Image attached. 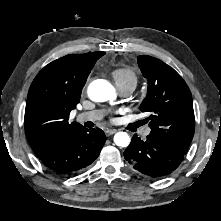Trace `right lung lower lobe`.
I'll return each instance as SVG.
<instances>
[{
  "instance_id": "98d812e1",
  "label": "right lung lower lobe",
  "mask_w": 221,
  "mask_h": 221,
  "mask_svg": "<svg viewBox=\"0 0 221 221\" xmlns=\"http://www.w3.org/2000/svg\"><path fill=\"white\" fill-rule=\"evenodd\" d=\"M105 141L101 129L83 128L66 137L40 161L56 175H75L99 156Z\"/></svg>"
}]
</instances>
